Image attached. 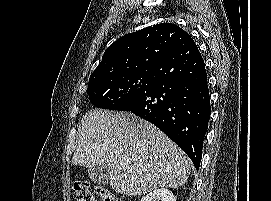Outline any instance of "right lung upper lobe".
<instances>
[{
    "label": "right lung upper lobe",
    "instance_id": "cb5924a9",
    "mask_svg": "<svg viewBox=\"0 0 271 201\" xmlns=\"http://www.w3.org/2000/svg\"><path fill=\"white\" fill-rule=\"evenodd\" d=\"M189 34L172 23H162L126 34L105 51L91 78L124 72H153Z\"/></svg>",
    "mask_w": 271,
    "mask_h": 201
}]
</instances>
